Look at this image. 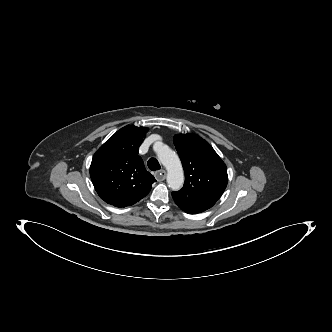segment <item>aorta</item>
I'll return each mask as SVG.
<instances>
[{
    "mask_svg": "<svg viewBox=\"0 0 332 332\" xmlns=\"http://www.w3.org/2000/svg\"><path fill=\"white\" fill-rule=\"evenodd\" d=\"M154 150L167 170L168 186L174 191L181 189L184 183V172L178 155L161 142L154 145Z\"/></svg>",
    "mask_w": 332,
    "mask_h": 332,
    "instance_id": "obj_1",
    "label": "aorta"
}]
</instances>
